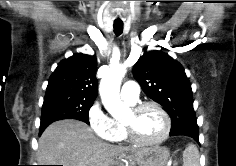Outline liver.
I'll return each mask as SVG.
<instances>
[{"label":"liver","instance_id":"obj_1","mask_svg":"<svg viewBox=\"0 0 236 166\" xmlns=\"http://www.w3.org/2000/svg\"><path fill=\"white\" fill-rule=\"evenodd\" d=\"M142 150L105 143L78 120H60L49 125L38 141L39 165L114 166L117 157L135 165Z\"/></svg>","mask_w":236,"mask_h":166}]
</instances>
